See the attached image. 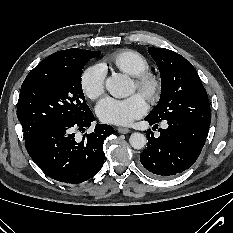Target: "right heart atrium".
<instances>
[{
	"mask_svg": "<svg viewBox=\"0 0 233 233\" xmlns=\"http://www.w3.org/2000/svg\"><path fill=\"white\" fill-rule=\"evenodd\" d=\"M106 71L100 65L86 68L80 78L83 93L90 99H97L105 90Z\"/></svg>",
	"mask_w": 233,
	"mask_h": 233,
	"instance_id": "d8ad5b80",
	"label": "right heart atrium"
}]
</instances>
